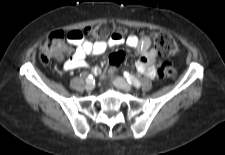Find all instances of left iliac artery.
Instances as JSON below:
<instances>
[{
    "label": "left iliac artery",
    "mask_w": 225,
    "mask_h": 155,
    "mask_svg": "<svg viewBox=\"0 0 225 155\" xmlns=\"http://www.w3.org/2000/svg\"><path fill=\"white\" fill-rule=\"evenodd\" d=\"M124 76L126 77L128 82L130 84H132L133 86H135L136 88H140L141 87V82L135 76H133V75L127 73V72L124 73Z\"/></svg>",
    "instance_id": "left-iliac-artery-1"
}]
</instances>
